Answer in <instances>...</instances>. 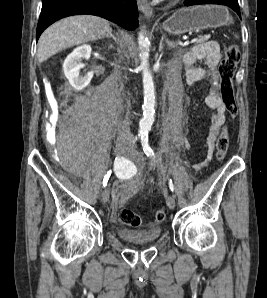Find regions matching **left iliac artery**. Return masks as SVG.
<instances>
[{
	"label": "left iliac artery",
	"instance_id": "44dca946",
	"mask_svg": "<svg viewBox=\"0 0 267 298\" xmlns=\"http://www.w3.org/2000/svg\"><path fill=\"white\" fill-rule=\"evenodd\" d=\"M141 144L143 147V151L144 153L148 156V157H152L154 156V152L152 150V148L149 145V140H148V135L146 136H142L141 137ZM169 188L170 190L173 192L174 191V185L171 179H169Z\"/></svg>",
	"mask_w": 267,
	"mask_h": 298
}]
</instances>
